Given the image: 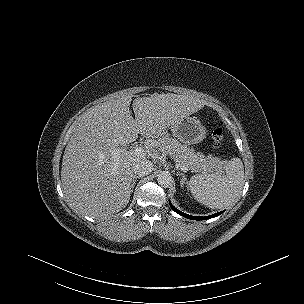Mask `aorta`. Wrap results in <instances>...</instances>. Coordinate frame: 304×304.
Returning <instances> with one entry per match:
<instances>
[{"instance_id":"obj_1","label":"aorta","mask_w":304,"mask_h":304,"mask_svg":"<svg viewBox=\"0 0 304 304\" xmlns=\"http://www.w3.org/2000/svg\"><path fill=\"white\" fill-rule=\"evenodd\" d=\"M172 177L170 173L162 171L158 174L157 182L162 187H168L171 184Z\"/></svg>"}]
</instances>
